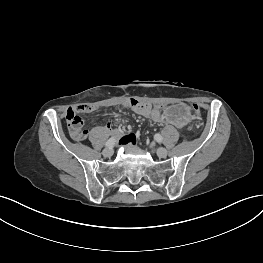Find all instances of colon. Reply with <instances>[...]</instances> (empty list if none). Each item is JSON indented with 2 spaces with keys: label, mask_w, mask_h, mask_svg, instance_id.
<instances>
[{
  "label": "colon",
  "mask_w": 263,
  "mask_h": 263,
  "mask_svg": "<svg viewBox=\"0 0 263 263\" xmlns=\"http://www.w3.org/2000/svg\"><path fill=\"white\" fill-rule=\"evenodd\" d=\"M193 110L195 119L197 122H199L201 114L199 106L194 104ZM66 122L69 133L74 140L80 141L86 137L87 132L83 129V119L80 113L76 112L75 110H70L66 115Z\"/></svg>",
  "instance_id": "5ec220e1"
}]
</instances>
